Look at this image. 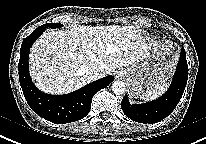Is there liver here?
Segmentation results:
<instances>
[{"mask_svg": "<svg viewBox=\"0 0 206 144\" xmlns=\"http://www.w3.org/2000/svg\"><path fill=\"white\" fill-rule=\"evenodd\" d=\"M145 42L141 31L132 25L50 30L31 48L30 74L45 93H69L92 81L86 74L91 66L101 68L104 77L137 62L147 50Z\"/></svg>", "mask_w": 206, "mask_h": 144, "instance_id": "6515ba94", "label": "liver"}]
</instances>
